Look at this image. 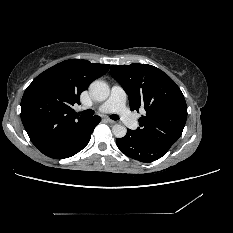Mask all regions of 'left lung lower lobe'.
<instances>
[{
	"mask_svg": "<svg viewBox=\"0 0 233 233\" xmlns=\"http://www.w3.org/2000/svg\"><path fill=\"white\" fill-rule=\"evenodd\" d=\"M117 147L128 157L141 162H152L159 159L170 149L168 146L152 143L128 129L123 138L116 139Z\"/></svg>",
	"mask_w": 233,
	"mask_h": 233,
	"instance_id": "obj_1",
	"label": "left lung lower lobe"
}]
</instances>
